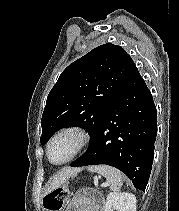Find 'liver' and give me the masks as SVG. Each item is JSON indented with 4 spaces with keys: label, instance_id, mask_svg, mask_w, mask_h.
<instances>
[{
    "label": "liver",
    "instance_id": "6515ba94",
    "mask_svg": "<svg viewBox=\"0 0 179 211\" xmlns=\"http://www.w3.org/2000/svg\"><path fill=\"white\" fill-rule=\"evenodd\" d=\"M80 171H81L80 168H65V169L59 171L58 173H56L53 176L50 184L47 187L46 193H50L53 190H55L56 188L60 187L64 182H66V180L70 176H72Z\"/></svg>",
    "mask_w": 179,
    "mask_h": 211
}]
</instances>
